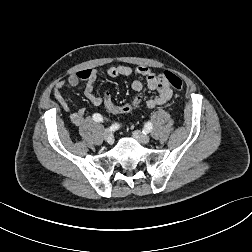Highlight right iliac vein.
I'll return each instance as SVG.
<instances>
[{
	"label": "right iliac vein",
	"instance_id": "right-iliac-vein-1",
	"mask_svg": "<svg viewBox=\"0 0 252 252\" xmlns=\"http://www.w3.org/2000/svg\"><path fill=\"white\" fill-rule=\"evenodd\" d=\"M104 138L108 144H112L114 142V136L109 130H105Z\"/></svg>",
	"mask_w": 252,
	"mask_h": 252
}]
</instances>
